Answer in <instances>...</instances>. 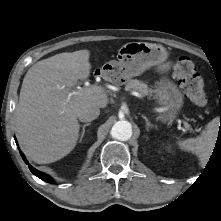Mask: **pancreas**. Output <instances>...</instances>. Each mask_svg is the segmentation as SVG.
<instances>
[{"label": "pancreas", "mask_w": 221, "mask_h": 221, "mask_svg": "<svg viewBox=\"0 0 221 221\" xmlns=\"http://www.w3.org/2000/svg\"><path fill=\"white\" fill-rule=\"evenodd\" d=\"M125 90H135L140 93L141 96H152V89H150L147 84L139 81L137 79H131L127 82Z\"/></svg>", "instance_id": "obj_1"}]
</instances>
